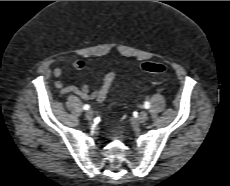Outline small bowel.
I'll return each instance as SVG.
<instances>
[{
  "mask_svg": "<svg viewBox=\"0 0 230 186\" xmlns=\"http://www.w3.org/2000/svg\"><path fill=\"white\" fill-rule=\"evenodd\" d=\"M71 67L75 70H82L86 67V63L83 60H75L71 63ZM62 74L63 68L61 67H57L53 70V76L56 78H59ZM110 74L105 76L99 87L94 91H91L90 87L87 85H65L61 80H57L55 82V87L60 91L62 95L75 94L85 100H96L100 102L104 100L110 87L111 83L108 80V76Z\"/></svg>",
  "mask_w": 230,
  "mask_h": 186,
  "instance_id": "1",
  "label": "small bowel"
}]
</instances>
